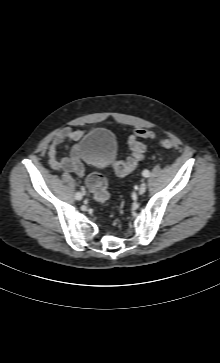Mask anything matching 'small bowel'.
<instances>
[{
    "label": "small bowel",
    "mask_w": 220,
    "mask_h": 363,
    "mask_svg": "<svg viewBox=\"0 0 220 363\" xmlns=\"http://www.w3.org/2000/svg\"><path fill=\"white\" fill-rule=\"evenodd\" d=\"M83 134L84 131L82 130H73L72 128L66 127L53 135L48 148V161L54 170L75 173L79 176L84 175V167L80 161L78 148H74L69 154L58 156V148L60 145L65 141H77Z\"/></svg>",
    "instance_id": "1"
}]
</instances>
